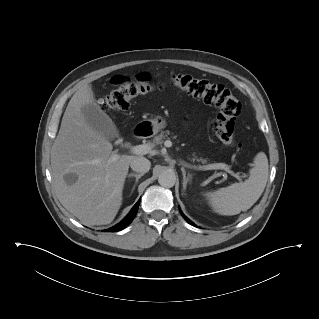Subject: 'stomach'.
<instances>
[{
    "label": "stomach",
    "mask_w": 319,
    "mask_h": 319,
    "mask_svg": "<svg viewBox=\"0 0 319 319\" xmlns=\"http://www.w3.org/2000/svg\"><path fill=\"white\" fill-rule=\"evenodd\" d=\"M148 123L151 127L152 133L156 134L160 130L166 127V120L160 115H154L149 120Z\"/></svg>",
    "instance_id": "stomach-1"
}]
</instances>
